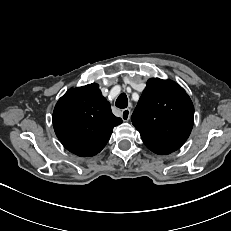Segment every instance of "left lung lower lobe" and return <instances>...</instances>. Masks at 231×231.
Masks as SVG:
<instances>
[{"instance_id":"left-lung-lower-lobe-1","label":"left lung lower lobe","mask_w":231,"mask_h":231,"mask_svg":"<svg viewBox=\"0 0 231 231\" xmlns=\"http://www.w3.org/2000/svg\"><path fill=\"white\" fill-rule=\"evenodd\" d=\"M151 151H153L154 153L156 154H161V155H165V154H168V153H165V152H162V151H159L157 149H153V148H149Z\"/></svg>"}]
</instances>
